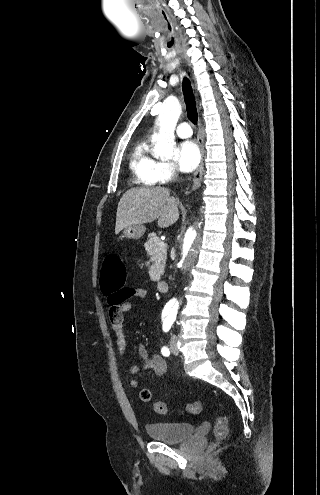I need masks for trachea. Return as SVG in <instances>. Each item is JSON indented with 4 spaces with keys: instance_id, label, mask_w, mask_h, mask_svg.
Masks as SVG:
<instances>
[{
    "instance_id": "3493384b",
    "label": "trachea",
    "mask_w": 320,
    "mask_h": 495,
    "mask_svg": "<svg viewBox=\"0 0 320 495\" xmlns=\"http://www.w3.org/2000/svg\"><path fill=\"white\" fill-rule=\"evenodd\" d=\"M182 89H183L184 100L186 103L188 118L193 124H197L198 112H197L196 102H195L191 82L187 77H184L183 79Z\"/></svg>"
}]
</instances>
